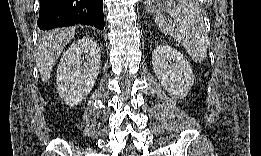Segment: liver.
I'll return each mask as SVG.
<instances>
[{
	"label": "liver",
	"instance_id": "1",
	"mask_svg": "<svg viewBox=\"0 0 261 156\" xmlns=\"http://www.w3.org/2000/svg\"><path fill=\"white\" fill-rule=\"evenodd\" d=\"M74 35V28H66L55 29L42 37L38 44L36 60L43 82L49 80L55 62Z\"/></svg>",
	"mask_w": 261,
	"mask_h": 156
}]
</instances>
